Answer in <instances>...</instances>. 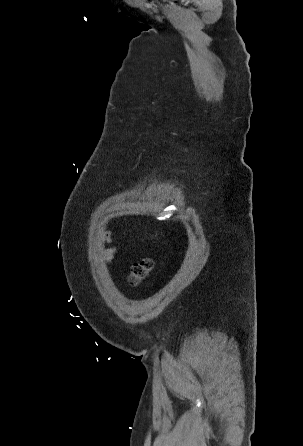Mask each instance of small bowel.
Wrapping results in <instances>:
<instances>
[{
  "instance_id": "small-bowel-1",
  "label": "small bowel",
  "mask_w": 303,
  "mask_h": 446,
  "mask_svg": "<svg viewBox=\"0 0 303 446\" xmlns=\"http://www.w3.org/2000/svg\"><path fill=\"white\" fill-rule=\"evenodd\" d=\"M101 240L110 244V246L107 247L103 252V259L108 265H112L115 256L119 253V249L116 246L112 245L113 239L111 234L103 235L101 237Z\"/></svg>"
}]
</instances>
